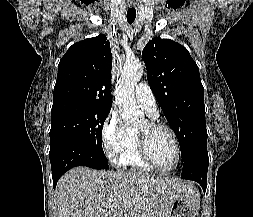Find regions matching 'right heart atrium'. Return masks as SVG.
Masks as SVG:
<instances>
[{"mask_svg":"<svg viewBox=\"0 0 253 217\" xmlns=\"http://www.w3.org/2000/svg\"><path fill=\"white\" fill-rule=\"evenodd\" d=\"M130 131L125 126L119 112L110 110L101 128V140L110 161L116 162L119 153L127 145Z\"/></svg>","mask_w":253,"mask_h":217,"instance_id":"right-heart-atrium-1","label":"right heart atrium"}]
</instances>
